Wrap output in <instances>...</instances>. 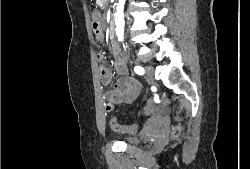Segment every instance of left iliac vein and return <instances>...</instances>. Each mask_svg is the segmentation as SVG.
I'll use <instances>...</instances> for the list:
<instances>
[{
  "label": "left iliac vein",
  "instance_id": "left-iliac-vein-1",
  "mask_svg": "<svg viewBox=\"0 0 250 169\" xmlns=\"http://www.w3.org/2000/svg\"><path fill=\"white\" fill-rule=\"evenodd\" d=\"M154 74L155 69L152 66L145 67V79L149 84L155 83Z\"/></svg>",
  "mask_w": 250,
  "mask_h": 169
}]
</instances>
